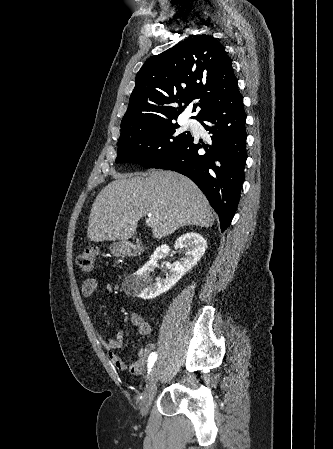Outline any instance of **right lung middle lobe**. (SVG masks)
I'll return each mask as SVG.
<instances>
[{
	"label": "right lung middle lobe",
	"mask_w": 333,
	"mask_h": 449,
	"mask_svg": "<svg viewBox=\"0 0 333 449\" xmlns=\"http://www.w3.org/2000/svg\"><path fill=\"white\" fill-rule=\"evenodd\" d=\"M191 137L189 132H181L177 123H163L145 133L118 141L116 163H134L145 168H155Z\"/></svg>",
	"instance_id": "obj_1"
}]
</instances>
